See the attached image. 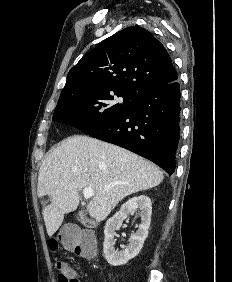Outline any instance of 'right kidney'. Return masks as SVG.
<instances>
[{
  "label": "right kidney",
  "mask_w": 232,
  "mask_h": 282,
  "mask_svg": "<svg viewBox=\"0 0 232 282\" xmlns=\"http://www.w3.org/2000/svg\"><path fill=\"white\" fill-rule=\"evenodd\" d=\"M138 210L141 216V223L136 233L131 235L130 243L124 250L115 249V231L118 230L130 212ZM152 203L148 196L140 195L133 197L124 203L120 210L107 220L104 229V248L103 252L107 262L112 266L126 264L130 259L137 256L143 247L144 241L148 236L151 222Z\"/></svg>",
  "instance_id": "ca27d5eb"
}]
</instances>
